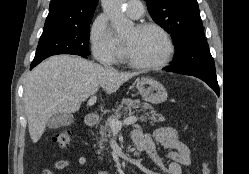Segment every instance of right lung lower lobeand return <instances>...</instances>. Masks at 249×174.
I'll list each match as a JSON object with an SVG mask.
<instances>
[{"label":"right lung lower lobe","mask_w":249,"mask_h":174,"mask_svg":"<svg viewBox=\"0 0 249 174\" xmlns=\"http://www.w3.org/2000/svg\"><path fill=\"white\" fill-rule=\"evenodd\" d=\"M82 57H87V56H82ZM41 61L33 62L31 63L30 69H33L36 65H38Z\"/></svg>","instance_id":"right-lung-lower-lobe-1"}]
</instances>
